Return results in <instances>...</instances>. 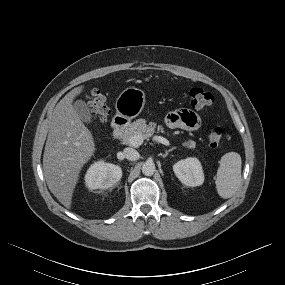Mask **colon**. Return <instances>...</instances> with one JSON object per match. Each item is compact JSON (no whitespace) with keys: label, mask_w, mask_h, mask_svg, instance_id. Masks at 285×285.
Wrapping results in <instances>:
<instances>
[{"label":"colon","mask_w":285,"mask_h":285,"mask_svg":"<svg viewBox=\"0 0 285 285\" xmlns=\"http://www.w3.org/2000/svg\"><path fill=\"white\" fill-rule=\"evenodd\" d=\"M190 104L195 109H203L211 106L214 102V96L202 89L192 88L189 91ZM88 105L91 109L93 117L99 121H106L109 110L106 105L105 97L99 90H93L87 99ZM224 131L221 127H213L208 132V142L211 147H217L223 139Z\"/></svg>","instance_id":"colon-1"}]
</instances>
